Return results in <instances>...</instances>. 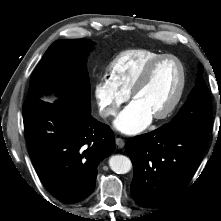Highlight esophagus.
I'll list each match as a JSON object with an SVG mask.
<instances>
[{"instance_id":"34e87169","label":"esophagus","mask_w":221,"mask_h":221,"mask_svg":"<svg viewBox=\"0 0 221 221\" xmlns=\"http://www.w3.org/2000/svg\"><path fill=\"white\" fill-rule=\"evenodd\" d=\"M115 142H116V145L118 146V148H123L125 146V142L121 138H116Z\"/></svg>"}]
</instances>
